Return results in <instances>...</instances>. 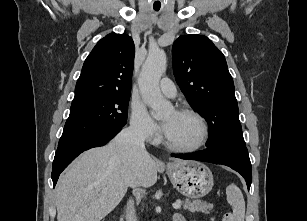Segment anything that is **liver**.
<instances>
[{"label": "liver", "instance_id": "liver-1", "mask_svg": "<svg viewBox=\"0 0 307 221\" xmlns=\"http://www.w3.org/2000/svg\"><path fill=\"white\" fill-rule=\"evenodd\" d=\"M157 171V163L147 152L133 151L115 139L90 149L58 180L57 221H101L120 203L128 187L154 185Z\"/></svg>", "mask_w": 307, "mask_h": 221}]
</instances>
